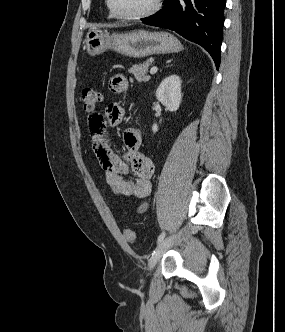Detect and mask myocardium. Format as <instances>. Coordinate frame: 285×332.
I'll return each mask as SVG.
<instances>
[{"label": "myocardium", "instance_id": "obj_1", "mask_svg": "<svg viewBox=\"0 0 285 332\" xmlns=\"http://www.w3.org/2000/svg\"><path fill=\"white\" fill-rule=\"evenodd\" d=\"M162 3H163V0H155L153 6L145 12L135 14V15H122V14H119L113 8L111 0H106V5H107V8H108L110 14L114 18L123 20V21H138V20L147 19V18L155 15L160 10Z\"/></svg>", "mask_w": 285, "mask_h": 332}]
</instances>
